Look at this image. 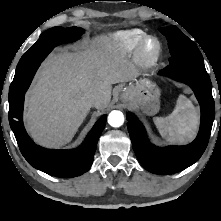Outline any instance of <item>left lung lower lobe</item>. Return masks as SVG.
Segmentation results:
<instances>
[{
  "label": "left lung lower lobe",
  "instance_id": "obj_1",
  "mask_svg": "<svg viewBox=\"0 0 221 221\" xmlns=\"http://www.w3.org/2000/svg\"><path fill=\"white\" fill-rule=\"evenodd\" d=\"M160 75L188 84L201 106V124L196 139L186 146L157 147L150 143L140 121L127 113V127L133 149L145 169L155 174H173L194 164L203 154L215 116L212 85L206 70L183 64H169Z\"/></svg>",
  "mask_w": 221,
  "mask_h": 221
}]
</instances>
